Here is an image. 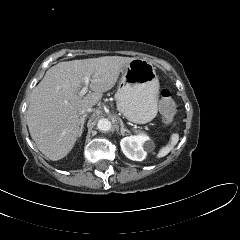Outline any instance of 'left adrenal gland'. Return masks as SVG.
<instances>
[{"mask_svg":"<svg viewBox=\"0 0 240 240\" xmlns=\"http://www.w3.org/2000/svg\"><path fill=\"white\" fill-rule=\"evenodd\" d=\"M120 126H121V128H120L121 135H124L125 132L129 133V130L124 127V123L121 119H120Z\"/></svg>","mask_w":240,"mask_h":240,"instance_id":"a2214340","label":"left adrenal gland"}]
</instances>
